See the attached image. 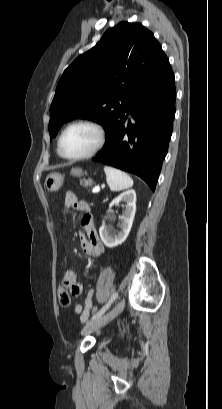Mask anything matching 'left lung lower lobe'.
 Wrapping results in <instances>:
<instances>
[{
  "instance_id": "0a47b994",
  "label": "left lung lower lobe",
  "mask_w": 222,
  "mask_h": 409,
  "mask_svg": "<svg viewBox=\"0 0 222 409\" xmlns=\"http://www.w3.org/2000/svg\"><path fill=\"white\" fill-rule=\"evenodd\" d=\"M175 98L170 70L132 98L107 130L106 143L94 161L136 174L154 191L172 134ZM126 112L135 124L126 123Z\"/></svg>"
}]
</instances>
